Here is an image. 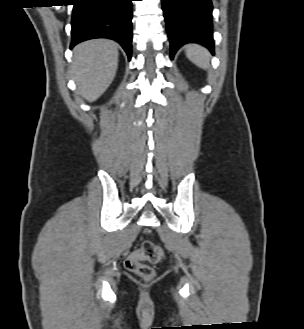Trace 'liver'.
Returning <instances> with one entry per match:
<instances>
[{"instance_id":"liver-1","label":"liver","mask_w":304,"mask_h":329,"mask_svg":"<svg viewBox=\"0 0 304 329\" xmlns=\"http://www.w3.org/2000/svg\"><path fill=\"white\" fill-rule=\"evenodd\" d=\"M118 57L117 44L107 39L85 41L74 48L73 75L78 91L87 101L97 100L112 83Z\"/></svg>"}]
</instances>
